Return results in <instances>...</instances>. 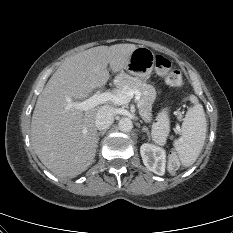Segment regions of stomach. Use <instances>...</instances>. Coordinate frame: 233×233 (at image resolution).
Segmentation results:
<instances>
[{
	"instance_id": "1",
	"label": "stomach",
	"mask_w": 233,
	"mask_h": 233,
	"mask_svg": "<svg viewBox=\"0 0 233 233\" xmlns=\"http://www.w3.org/2000/svg\"><path fill=\"white\" fill-rule=\"evenodd\" d=\"M155 63V54L147 47H137L131 54L125 70L136 78L146 81L150 78Z\"/></svg>"
}]
</instances>
